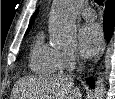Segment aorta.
Masks as SVG:
<instances>
[{
  "instance_id": "aorta-1",
  "label": "aorta",
  "mask_w": 115,
  "mask_h": 99,
  "mask_svg": "<svg viewBox=\"0 0 115 99\" xmlns=\"http://www.w3.org/2000/svg\"><path fill=\"white\" fill-rule=\"evenodd\" d=\"M79 0H54L50 16V38L62 48L72 47L76 43V17L81 6ZM104 77H97L94 98L102 99L104 95Z\"/></svg>"
}]
</instances>
